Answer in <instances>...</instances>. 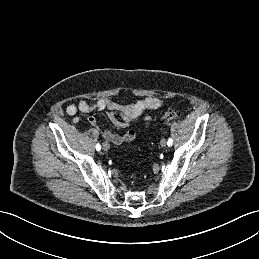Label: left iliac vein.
Here are the masks:
<instances>
[{"label": "left iliac vein", "mask_w": 259, "mask_h": 259, "mask_svg": "<svg viewBox=\"0 0 259 259\" xmlns=\"http://www.w3.org/2000/svg\"><path fill=\"white\" fill-rule=\"evenodd\" d=\"M160 145H161L162 147H166V145H167V141H166V139H165V138H162V139H161V141H160Z\"/></svg>", "instance_id": "1"}]
</instances>
